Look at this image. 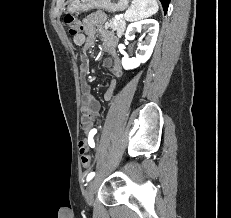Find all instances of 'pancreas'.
Returning <instances> with one entry per match:
<instances>
[{
  "mask_svg": "<svg viewBox=\"0 0 231 218\" xmlns=\"http://www.w3.org/2000/svg\"><path fill=\"white\" fill-rule=\"evenodd\" d=\"M104 27L106 29L111 28L114 31H117L118 37H121L123 35L124 30H125L126 23H125L124 18H120L118 20L116 18H112L109 22L105 23Z\"/></svg>",
  "mask_w": 231,
  "mask_h": 218,
  "instance_id": "1",
  "label": "pancreas"
}]
</instances>
